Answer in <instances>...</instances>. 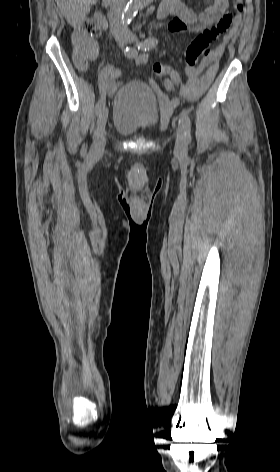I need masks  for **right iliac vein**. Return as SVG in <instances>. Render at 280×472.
<instances>
[{"label":"right iliac vein","mask_w":280,"mask_h":472,"mask_svg":"<svg viewBox=\"0 0 280 472\" xmlns=\"http://www.w3.org/2000/svg\"><path fill=\"white\" fill-rule=\"evenodd\" d=\"M120 43L125 44L126 39L122 38L120 40ZM107 119H108V109L107 107L104 106L99 112L98 119H97V127L94 133V140H93V144L91 146V151H90L92 157H99L102 155L104 151L105 144H106L105 127H106Z\"/></svg>","instance_id":"right-iliac-vein-1"}]
</instances>
